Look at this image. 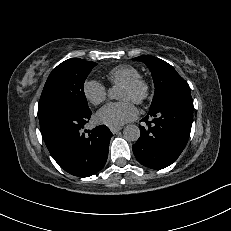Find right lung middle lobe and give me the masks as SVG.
Here are the masks:
<instances>
[{"mask_svg":"<svg viewBox=\"0 0 231 231\" xmlns=\"http://www.w3.org/2000/svg\"><path fill=\"white\" fill-rule=\"evenodd\" d=\"M96 63L79 58L59 64L49 75L38 104V117L42 121L61 111L90 110L84 94L85 79Z\"/></svg>","mask_w":231,"mask_h":231,"instance_id":"dd1d6c3e","label":"right lung middle lobe"}]
</instances>
